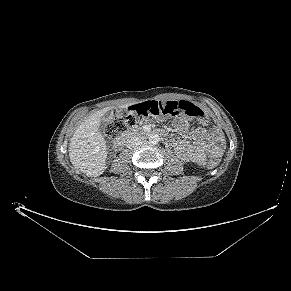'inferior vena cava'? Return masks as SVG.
I'll return each instance as SVG.
<instances>
[{
    "label": "inferior vena cava",
    "instance_id": "inferior-vena-cava-1",
    "mask_svg": "<svg viewBox=\"0 0 291 291\" xmlns=\"http://www.w3.org/2000/svg\"><path fill=\"white\" fill-rule=\"evenodd\" d=\"M126 143H127L126 146L128 148H135L141 144V139L137 136H132L127 139Z\"/></svg>",
    "mask_w": 291,
    "mask_h": 291
}]
</instances>
